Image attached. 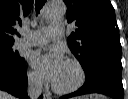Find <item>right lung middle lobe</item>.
<instances>
[{
    "label": "right lung middle lobe",
    "instance_id": "obj_1",
    "mask_svg": "<svg viewBox=\"0 0 128 99\" xmlns=\"http://www.w3.org/2000/svg\"><path fill=\"white\" fill-rule=\"evenodd\" d=\"M13 43H0V66L15 68L23 62L17 51L12 50Z\"/></svg>",
    "mask_w": 128,
    "mask_h": 99
}]
</instances>
